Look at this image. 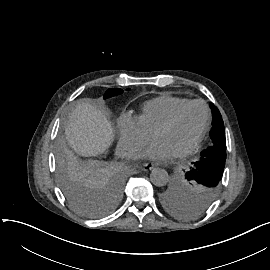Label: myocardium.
<instances>
[{"mask_svg": "<svg viewBox=\"0 0 270 270\" xmlns=\"http://www.w3.org/2000/svg\"><path fill=\"white\" fill-rule=\"evenodd\" d=\"M194 105H201L204 109L205 112V119H204V123H203V127L201 129V132L199 134V136L196 138V140L185 150H183L182 152H180L179 154H177L178 158H184L188 155H190L191 153H193L202 143L209 124H210V111L208 106L206 105V103L204 101L201 100H192L189 101L187 104H185L184 106H182L181 108H179L173 115H171L167 120H165L163 123H161L153 132L152 135L157 133L160 130H164V129H168L173 127L178 120L180 119V117L182 116V114L190 107L194 106Z\"/></svg>", "mask_w": 270, "mask_h": 270, "instance_id": "myocardium-1", "label": "myocardium"}]
</instances>
